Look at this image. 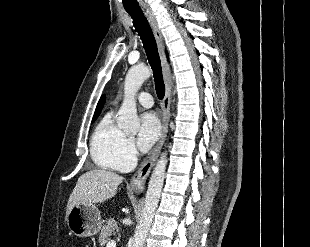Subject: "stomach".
<instances>
[{
	"label": "stomach",
	"instance_id": "obj_1",
	"mask_svg": "<svg viewBox=\"0 0 310 247\" xmlns=\"http://www.w3.org/2000/svg\"><path fill=\"white\" fill-rule=\"evenodd\" d=\"M66 221L70 232L78 237L93 236L102 227L100 212L94 204L73 206Z\"/></svg>",
	"mask_w": 310,
	"mask_h": 247
}]
</instances>
